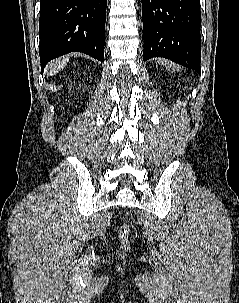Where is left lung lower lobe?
Here are the masks:
<instances>
[{
    "label": "left lung lower lobe",
    "mask_w": 239,
    "mask_h": 303,
    "mask_svg": "<svg viewBox=\"0 0 239 303\" xmlns=\"http://www.w3.org/2000/svg\"><path fill=\"white\" fill-rule=\"evenodd\" d=\"M143 60L168 58L201 73L200 0H142Z\"/></svg>",
    "instance_id": "1"
}]
</instances>
